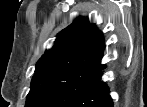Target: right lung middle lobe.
I'll use <instances>...</instances> for the list:
<instances>
[{
    "instance_id": "dd1d6c3e",
    "label": "right lung middle lobe",
    "mask_w": 147,
    "mask_h": 107,
    "mask_svg": "<svg viewBox=\"0 0 147 107\" xmlns=\"http://www.w3.org/2000/svg\"><path fill=\"white\" fill-rule=\"evenodd\" d=\"M99 72L97 69H79L34 76L25 107H67Z\"/></svg>"
}]
</instances>
